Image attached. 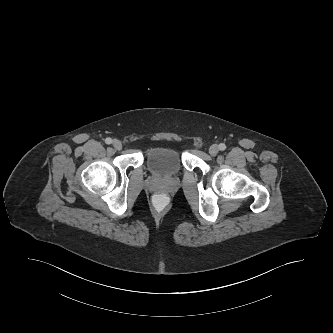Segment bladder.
Returning <instances> with one entry per match:
<instances>
[{"instance_id": "obj_1", "label": "bladder", "mask_w": 333, "mask_h": 333, "mask_svg": "<svg viewBox=\"0 0 333 333\" xmlns=\"http://www.w3.org/2000/svg\"><path fill=\"white\" fill-rule=\"evenodd\" d=\"M148 170L161 177L177 174L183 164L181 153L171 147H154L145 155Z\"/></svg>"}]
</instances>
